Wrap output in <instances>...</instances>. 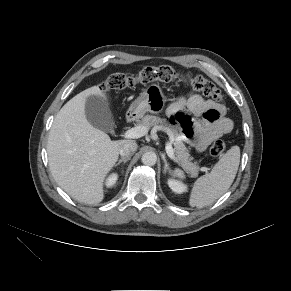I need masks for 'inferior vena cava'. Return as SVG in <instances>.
<instances>
[{
  "label": "inferior vena cava",
  "instance_id": "inferior-vena-cava-1",
  "mask_svg": "<svg viewBox=\"0 0 291 291\" xmlns=\"http://www.w3.org/2000/svg\"><path fill=\"white\" fill-rule=\"evenodd\" d=\"M137 147L138 146L135 142H127L120 149V155L123 158L130 157L135 153V151L137 150Z\"/></svg>",
  "mask_w": 291,
  "mask_h": 291
}]
</instances>
